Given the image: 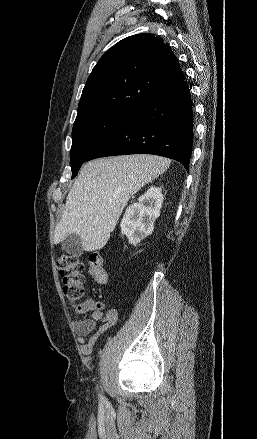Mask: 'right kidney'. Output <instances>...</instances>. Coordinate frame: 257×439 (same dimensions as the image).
<instances>
[{"label": "right kidney", "instance_id": "right-kidney-1", "mask_svg": "<svg viewBox=\"0 0 257 439\" xmlns=\"http://www.w3.org/2000/svg\"><path fill=\"white\" fill-rule=\"evenodd\" d=\"M163 203L162 190L151 186L137 202L129 205L120 223L121 232L130 244L136 246L154 229V222L160 215Z\"/></svg>", "mask_w": 257, "mask_h": 439}]
</instances>
